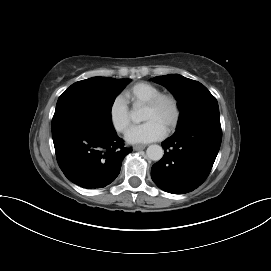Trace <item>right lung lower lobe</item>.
Instances as JSON below:
<instances>
[{
    "label": "right lung lower lobe",
    "instance_id": "obj_1",
    "mask_svg": "<svg viewBox=\"0 0 271 271\" xmlns=\"http://www.w3.org/2000/svg\"><path fill=\"white\" fill-rule=\"evenodd\" d=\"M57 162L65 176L83 188H102L118 176L125 148L113 127L88 122L52 135Z\"/></svg>",
    "mask_w": 271,
    "mask_h": 271
}]
</instances>
